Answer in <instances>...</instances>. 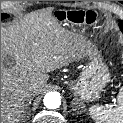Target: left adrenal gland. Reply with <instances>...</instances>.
Returning <instances> with one entry per match:
<instances>
[{"label":"left adrenal gland","mask_w":123,"mask_h":123,"mask_svg":"<svg viewBox=\"0 0 123 123\" xmlns=\"http://www.w3.org/2000/svg\"><path fill=\"white\" fill-rule=\"evenodd\" d=\"M73 104H75V103L73 102ZM80 104H82V105H83V103H82V102H80ZM82 109L85 111L84 106H82ZM77 112H78V111H77Z\"/></svg>","instance_id":"1"}]
</instances>
